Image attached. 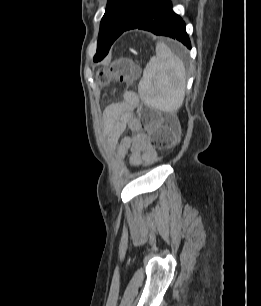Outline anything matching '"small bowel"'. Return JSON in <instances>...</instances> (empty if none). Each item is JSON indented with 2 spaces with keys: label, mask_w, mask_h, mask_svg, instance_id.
<instances>
[{
  "label": "small bowel",
  "mask_w": 261,
  "mask_h": 306,
  "mask_svg": "<svg viewBox=\"0 0 261 306\" xmlns=\"http://www.w3.org/2000/svg\"><path fill=\"white\" fill-rule=\"evenodd\" d=\"M138 103L139 98L136 93L126 92L121 102L107 110L105 122L108 147L115 150L119 160H124L130 152L129 163L133 167L153 164L158 160V154L148 134L143 131L139 120L134 115V109ZM111 120L114 121L113 124ZM125 129L129 135L121 137Z\"/></svg>",
  "instance_id": "1"
}]
</instances>
